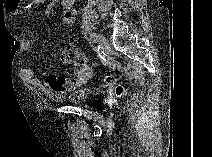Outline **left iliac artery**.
Instances as JSON below:
<instances>
[{
	"instance_id": "left-iliac-artery-1",
	"label": "left iliac artery",
	"mask_w": 212,
	"mask_h": 157,
	"mask_svg": "<svg viewBox=\"0 0 212 157\" xmlns=\"http://www.w3.org/2000/svg\"><path fill=\"white\" fill-rule=\"evenodd\" d=\"M90 40L93 41V42H96L97 41V38H96L95 34H92L90 36Z\"/></svg>"
}]
</instances>
